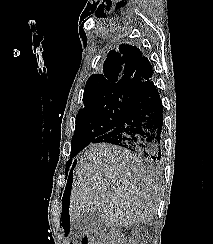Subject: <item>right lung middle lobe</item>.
Segmentation results:
<instances>
[{
  "label": "right lung middle lobe",
  "mask_w": 213,
  "mask_h": 244,
  "mask_svg": "<svg viewBox=\"0 0 213 244\" xmlns=\"http://www.w3.org/2000/svg\"><path fill=\"white\" fill-rule=\"evenodd\" d=\"M134 97L130 94H114L85 104L76 116V128L71 141L70 157H75L94 139L113 130ZM71 164L72 160L70 159L66 166V173Z\"/></svg>",
  "instance_id": "right-lung-middle-lobe-1"
}]
</instances>
